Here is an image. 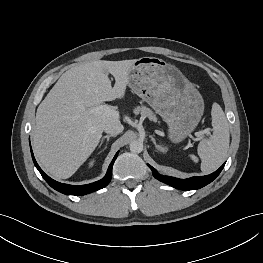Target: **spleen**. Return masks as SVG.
Returning a JSON list of instances; mask_svg holds the SVG:
<instances>
[{"label":"spleen","instance_id":"obj_1","mask_svg":"<svg viewBox=\"0 0 263 263\" xmlns=\"http://www.w3.org/2000/svg\"><path fill=\"white\" fill-rule=\"evenodd\" d=\"M213 133L210 139L202 140L198 145V155L201 159V171L209 174L218 169L224 162L230 142L229 124L224 111L219 104L214 103L211 110ZM190 158L197 162L195 155Z\"/></svg>","mask_w":263,"mask_h":263}]
</instances>
